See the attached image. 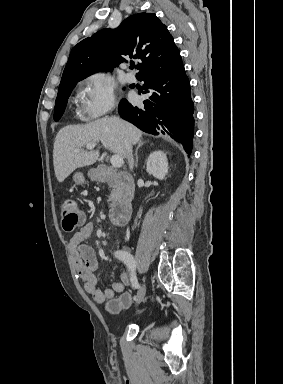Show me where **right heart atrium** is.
Returning a JSON list of instances; mask_svg holds the SVG:
<instances>
[{"instance_id":"obj_1","label":"right heart atrium","mask_w":283,"mask_h":384,"mask_svg":"<svg viewBox=\"0 0 283 384\" xmlns=\"http://www.w3.org/2000/svg\"><path fill=\"white\" fill-rule=\"evenodd\" d=\"M77 95L79 118L90 124L98 123L117 103L114 85L98 73L87 75L78 82Z\"/></svg>"}]
</instances>
